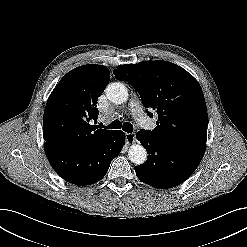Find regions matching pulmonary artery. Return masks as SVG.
I'll use <instances>...</instances> for the list:
<instances>
[{"instance_id": "1", "label": "pulmonary artery", "mask_w": 247, "mask_h": 247, "mask_svg": "<svg viewBox=\"0 0 247 247\" xmlns=\"http://www.w3.org/2000/svg\"><path fill=\"white\" fill-rule=\"evenodd\" d=\"M129 110L138 124L146 129H150L153 126L152 120L147 117L138 100H132L129 103Z\"/></svg>"}]
</instances>
